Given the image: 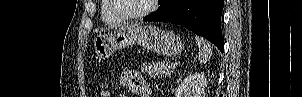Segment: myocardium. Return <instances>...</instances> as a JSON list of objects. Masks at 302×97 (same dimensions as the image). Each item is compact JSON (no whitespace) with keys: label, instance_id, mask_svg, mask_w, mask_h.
Returning a JSON list of instances; mask_svg holds the SVG:
<instances>
[{"label":"myocardium","instance_id":"myocardium-1","mask_svg":"<svg viewBox=\"0 0 302 97\" xmlns=\"http://www.w3.org/2000/svg\"><path fill=\"white\" fill-rule=\"evenodd\" d=\"M108 1L110 3V7H111L113 14L123 21H135V20L145 18L146 16H148L149 14H151L154 11L156 2H157L156 0H150L148 7L145 8L143 11L136 13V14L128 15V14H124L118 10L115 0H108Z\"/></svg>","mask_w":302,"mask_h":97}]
</instances>
